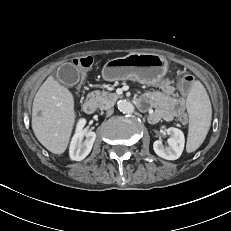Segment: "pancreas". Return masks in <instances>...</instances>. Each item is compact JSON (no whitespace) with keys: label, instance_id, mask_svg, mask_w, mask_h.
<instances>
[{"label":"pancreas","instance_id":"1","mask_svg":"<svg viewBox=\"0 0 231 231\" xmlns=\"http://www.w3.org/2000/svg\"><path fill=\"white\" fill-rule=\"evenodd\" d=\"M91 98L97 103L100 109H108L111 108L118 99V95L116 93H110L107 91H92L90 93Z\"/></svg>","mask_w":231,"mask_h":231}]
</instances>
